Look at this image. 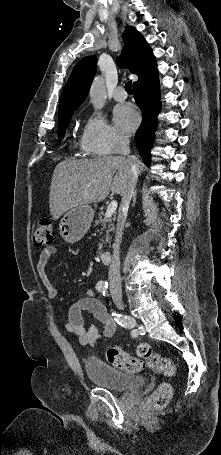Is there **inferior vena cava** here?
Here are the masks:
<instances>
[{
	"label": "inferior vena cava",
	"instance_id": "inferior-vena-cava-1",
	"mask_svg": "<svg viewBox=\"0 0 221 455\" xmlns=\"http://www.w3.org/2000/svg\"><path fill=\"white\" fill-rule=\"evenodd\" d=\"M118 153L124 155L130 161V167L128 170V179L122 193V200L118 212L115 242L113 244V255L112 261L109 267V284L112 288L121 287V276H120V244L122 241L124 224L127 217L131 198L134 194V189L138 180L139 169L134 163L133 157L130 155L129 139L127 136H118Z\"/></svg>",
	"mask_w": 221,
	"mask_h": 455
}]
</instances>
